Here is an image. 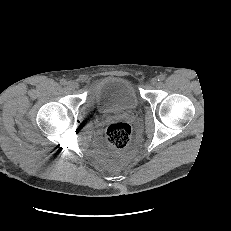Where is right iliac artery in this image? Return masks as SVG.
Masks as SVG:
<instances>
[{"label":"right iliac artery","instance_id":"1","mask_svg":"<svg viewBox=\"0 0 231 231\" xmlns=\"http://www.w3.org/2000/svg\"><path fill=\"white\" fill-rule=\"evenodd\" d=\"M60 84H61V85H66V84H67V81H66L65 79H61V80H60Z\"/></svg>","mask_w":231,"mask_h":231}]
</instances>
